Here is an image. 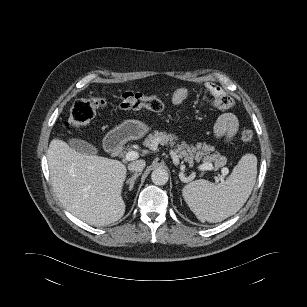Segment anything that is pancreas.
I'll return each instance as SVG.
<instances>
[{"label": "pancreas", "mask_w": 307, "mask_h": 307, "mask_svg": "<svg viewBox=\"0 0 307 307\" xmlns=\"http://www.w3.org/2000/svg\"><path fill=\"white\" fill-rule=\"evenodd\" d=\"M175 140H177V137L173 134L154 131V133L149 134L145 139L144 145L150 149H156L158 144L173 146ZM213 150L214 147L206 143H197L196 146H193L182 142L177 145L175 154L178 158L183 159L189 165H192L195 160L197 162L203 161L204 163H213L215 169L223 167L227 162V158L221 156L220 153L210 154Z\"/></svg>", "instance_id": "pancreas-1"}]
</instances>
